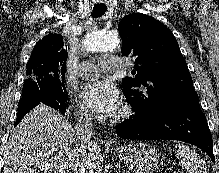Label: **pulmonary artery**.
<instances>
[{"instance_id":"pulmonary-artery-1","label":"pulmonary artery","mask_w":219,"mask_h":173,"mask_svg":"<svg viewBox=\"0 0 219 173\" xmlns=\"http://www.w3.org/2000/svg\"><path fill=\"white\" fill-rule=\"evenodd\" d=\"M123 67V61L117 56H103L98 63L91 61L82 62L77 70V75L82 79L94 78L99 71H117Z\"/></svg>"}]
</instances>
